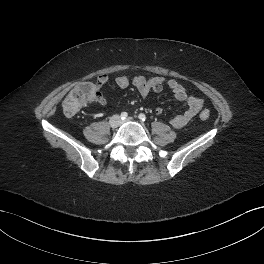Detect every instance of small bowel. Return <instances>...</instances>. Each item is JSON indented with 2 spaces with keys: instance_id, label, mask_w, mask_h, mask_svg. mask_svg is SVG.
<instances>
[{
  "instance_id": "obj_1",
  "label": "small bowel",
  "mask_w": 264,
  "mask_h": 264,
  "mask_svg": "<svg viewBox=\"0 0 264 264\" xmlns=\"http://www.w3.org/2000/svg\"><path fill=\"white\" fill-rule=\"evenodd\" d=\"M108 80V76L102 74L98 76L95 84L97 92L94 100L103 106L106 105L107 102L100 92V88L105 85ZM115 84L122 89L132 85L142 96H147L149 93H159L163 90L164 86H167L176 100L185 103V111L170 120V124L176 129H181L186 126L203 108V101L195 96L189 95L185 88L174 79H166L162 76L146 78L144 76L120 75L115 78ZM162 112L163 110L161 107L155 109V113L158 115Z\"/></svg>"
}]
</instances>
